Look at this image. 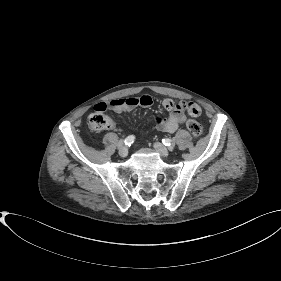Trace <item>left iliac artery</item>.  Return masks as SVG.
Instances as JSON below:
<instances>
[{"label": "left iliac artery", "instance_id": "44dca946", "mask_svg": "<svg viewBox=\"0 0 281 281\" xmlns=\"http://www.w3.org/2000/svg\"><path fill=\"white\" fill-rule=\"evenodd\" d=\"M162 143L165 145V146H172L174 144L173 140L169 139V138H165V139H162Z\"/></svg>", "mask_w": 281, "mask_h": 281}]
</instances>
